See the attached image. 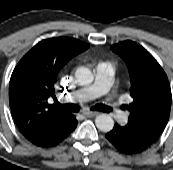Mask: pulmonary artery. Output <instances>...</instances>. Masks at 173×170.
<instances>
[{"label": "pulmonary artery", "instance_id": "1", "mask_svg": "<svg viewBox=\"0 0 173 170\" xmlns=\"http://www.w3.org/2000/svg\"><path fill=\"white\" fill-rule=\"evenodd\" d=\"M113 77L114 70L111 66L103 63L98 64L94 82L75 90L72 93V98L77 102H86L98 97H106L114 118L118 121H124L126 112L119 107L116 99L110 95Z\"/></svg>", "mask_w": 173, "mask_h": 170}]
</instances>
